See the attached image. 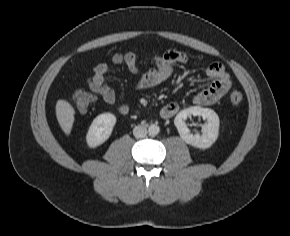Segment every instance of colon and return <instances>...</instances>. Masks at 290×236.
<instances>
[{
  "mask_svg": "<svg viewBox=\"0 0 290 236\" xmlns=\"http://www.w3.org/2000/svg\"><path fill=\"white\" fill-rule=\"evenodd\" d=\"M72 100L74 102V105L80 112H85L89 109V107L92 105L94 98L93 96L85 91H76L73 96ZM243 100V94L239 91H233L230 94V101L233 104H239Z\"/></svg>",
  "mask_w": 290,
  "mask_h": 236,
  "instance_id": "obj_1",
  "label": "colon"
}]
</instances>
